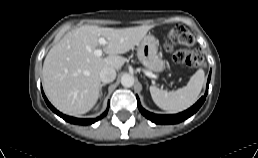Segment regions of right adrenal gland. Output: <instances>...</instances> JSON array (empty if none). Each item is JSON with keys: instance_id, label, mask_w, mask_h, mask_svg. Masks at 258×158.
<instances>
[{"instance_id": "2a0ac1e0", "label": "right adrenal gland", "mask_w": 258, "mask_h": 158, "mask_svg": "<svg viewBox=\"0 0 258 158\" xmlns=\"http://www.w3.org/2000/svg\"><path fill=\"white\" fill-rule=\"evenodd\" d=\"M106 84L105 83H103V84H101V86H100V97L103 95V92H102V87L103 86H105Z\"/></svg>"}]
</instances>
